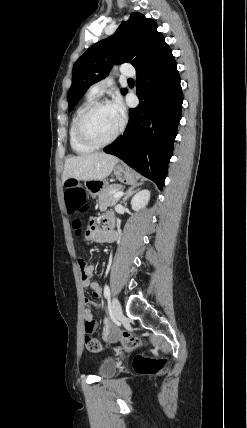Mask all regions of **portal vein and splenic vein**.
<instances>
[{"label": "portal vein and splenic vein", "mask_w": 247, "mask_h": 428, "mask_svg": "<svg viewBox=\"0 0 247 428\" xmlns=\"http://www.w3.org/2000/svg\"><path fill=\"white\" fill-rule=\"evenodd\" d=\"M123 194H124L123 191H117L114 193L113 197L114 198H120Z\"/></svg>", "instance_id": "portal-vein-and-splenic-vein-1"}]
</instances>
